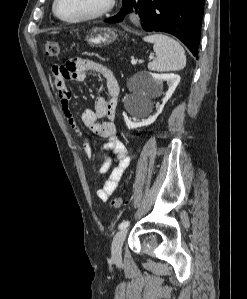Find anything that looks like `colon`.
<instances>
[{
    "instance_id": "obj_1",
    "label": "colon",
    "mask_w": 247,
    "mask_h": 299,
    "mask_svg": "<svg viewBox=\"0 0 247 299\" xmlns=\"http://www.w3.org/2000/svg\"><path fill=\"white\" fill-rule=\"evenodd\" d=\"M59 44L55 40H47L44 44V53L47 57L56 58L59 56ZM129 200L124 197H115L112 201V205L115 208H121L128 205Z\"/></svg>"
}]
</instances>
